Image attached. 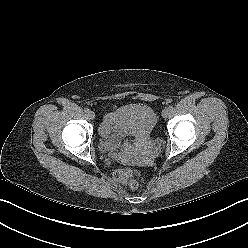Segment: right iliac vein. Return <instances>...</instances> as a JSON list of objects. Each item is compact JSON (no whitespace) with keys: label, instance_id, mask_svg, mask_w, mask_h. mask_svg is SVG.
Returning <instances> with one entry per match:
<instances>
[{"label":"right iliac vein","instance_id":"obj_1","mask_svg":"<svg viewBox=\"0 0 248 248\" xmlns=\"http://www.w3.org/2000/svg\"><path fill=\"white\" fill-rule=\"evenodd\" d=\"M88 117H89L90 119H95V113H94L93 111H89V112H88Z\"/></svg>","mask_w":248,"mask_h":248}]
</instances>
